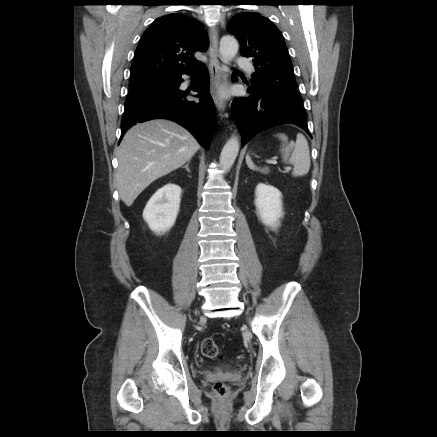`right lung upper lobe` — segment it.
<instances>
[{
    "label": "right lung upper lobe",
    "mask_w": 437,
    "mask_h": 437,
    "mask_svg": "<svg viewBox=\"0 0 437 437\" xmlns=\"http://www.w3.org/2000/svg\"><path fill=\"white\" fill-rule=\"evenodd\" d=\"M202 23L183 14L157 18L143 33L131 65V80L175 78L201 62L194 52L208 48Z\"/></svg>",
    "instance_id": "cb5924a9"
}]
</instances>
